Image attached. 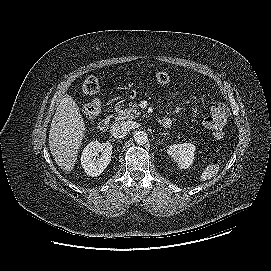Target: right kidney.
Returning a JSON list of instances; mask_svg holds the SVG:
<instances>
[{
  "label": "right kidney",
  "mask_w": 271,
  "mask_h": 271,
  "mask_svg": "<svg viewBox=\"0 0 271 271\" xmlns=\"http://www.w3.org/2000/svg\"><path fill=\"white\" fill-rule=\"evenodd\" d=\"M100 154V157H99ZM112 155L111 143L90 142L81 155V165L87 175L96 177L108 166Z\"/></svg>",
  "instance_id": "obj_1"
}]
</instances>
